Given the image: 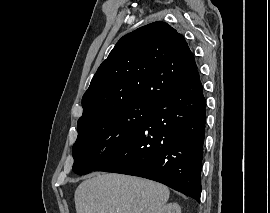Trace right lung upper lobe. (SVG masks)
<instances>
[{
    "mask_svg": "<svg viewBox=\"0 0 270 213\" xmlns=\"http://www.w3.org/2000/svg\"><path fill=\"white\" fill-rule=\"evenodd\" d=\"M197 71L185 38L157 21L123 36L82 98L78 123L135 101L156 104Z\"/></svg>",
    "mask_w": 270,
    "mask_h": 213,
    "instance_id": "right-lung-upper-lobe-1",
    "label": "right lung upper lobe"
}]
</instances>
